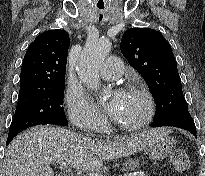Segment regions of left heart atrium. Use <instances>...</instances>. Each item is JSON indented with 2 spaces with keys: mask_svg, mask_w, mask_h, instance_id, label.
Here are the masks:
<instances>
[{
  "mask_svg": "<svg viewBox=\"0 0 205 176\" xmlns=\"http://www.w3.org/2000/svg\"><path fill=\"white\" fill-rule=\"evenodd\" d=\"M127 93L124 91H118L115 93L114 97L110 101L107 110L112 115L115 116L118 112V109L121 105V103L126 99Z\"/></svg>",
  "mask_w": 205,
  "mask_h": 176,
  "instance_id": "1",
  "label": "left heart atrium"
}]
</instances>
